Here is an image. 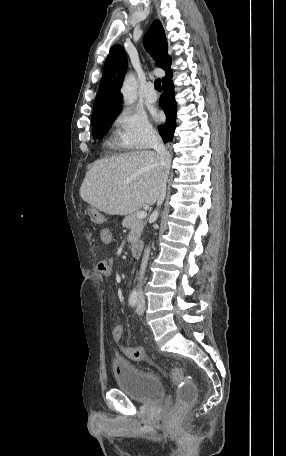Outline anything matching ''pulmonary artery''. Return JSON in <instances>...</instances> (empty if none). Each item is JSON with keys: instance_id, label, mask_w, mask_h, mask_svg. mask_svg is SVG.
Returning <instances> with one entry per match:
<instances>
[{"instance_id": "e3ab8cb5", "label": "pulmonary artery", "mask_w": 286, "mask_h": 456, "mask_svg": "<svg viewBox=\"0 0 286 456\" xmlns=\"http://www.w3.org/2000/svg\"><path fill=\"white\" fill-rule=\"evenodd\" d=\"M144 98L147 102L149 103H154L157 101V93L154 90V86L152 83H147V85L144 88Z\"/></svg>"}]
</instances>
